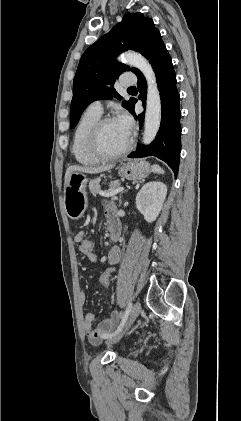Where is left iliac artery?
<instances>
[{"label": "left iliac artery", "mask_w": 241, "mask_h": 421, "mask_svg": "<svg viewBox=\"0 0 241 421\" xmlns=\"http://www.w3.org/2000/svg\"><path fill=\"white\" fill-rule=\"evenodd\" d=\"M131 309H132V303H128L126 311H125V313L122 317V320H121V323H120L119 327L117 328V330L115 332L106 335L105 338H112L122 331V329H123V327H124V325L127 321V318L129 316V313L131 312Z\"/></svg>", "instance_id": "44dca946"}]
</instances>
